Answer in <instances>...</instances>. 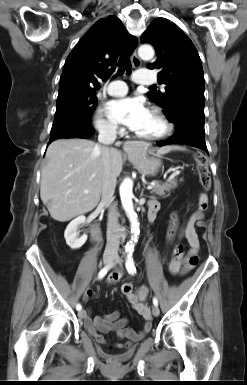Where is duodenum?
<instances>
[{"mask_svg":"<svg viewBox=\"0 0 247 385\" xmlns=\"http://www.w3.org/2000/svg\"><path fill=\"white\" fill-rule=\"evenodd\" d=\"M156 211L150 210L148 213V220L152 223L155 220ZM92 239L98 241L100 239V227L98 224H95L92 228Z\"/></svg>","mask_w":247,"mask_h":385,"instance_id":"410a0bca","label":"duodenum"}]
</instances>
